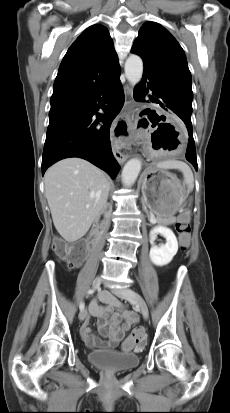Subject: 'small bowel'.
<instances>
[{"mask_svg": "<svg viewBox=\"0 0 230 413\" xmlns=\"http://www.w3.org/2000/svg\"><path fill=\"white\" fill-rule=\"evenodd\" d=\"M98 300L107 304L103 306L93 300L90 303V314L98 318V329L103 337L108 338L107 341H102L94 337L91 333L88 320L82 326V339L85 344L91 348H115L123 339L126 332L138 321L137 315L127 309H124L122 304L114 298L108 291H101L98 294ZM121 318L124 319L120 323ZM132 349V343L126 339L122 345L123 352H129Z\"/></svg>", "mask_w": 230, "mask_h": 413, "instance_id": "1", "label": "small bowel"}]
</instances>
